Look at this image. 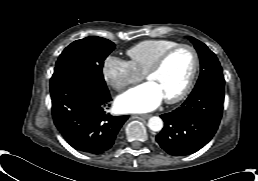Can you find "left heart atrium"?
Segmentation results:
<instances>
[{"label": "left heart atrium", "mask_w": 258, "mask_h": 181, "mask_svg": "<svg viewBox=\"0 0 258 181\" xmlns=\"http://www.w3.org/2000/svg\"><path fill=\"white\" fill-rule=\"evenodd\" d=\"M163 98L159 88L148 81L118 96L116 107L124 113H144L157 108Z\"/></svg>", "instance_id": "obj_1"}]
</instances>
